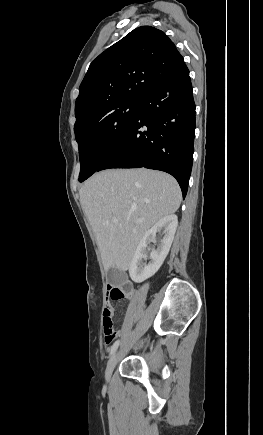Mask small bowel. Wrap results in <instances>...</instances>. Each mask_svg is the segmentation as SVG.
<instances>
[{"label":"small bowel","mask_w":263,"mask_h":435,"mask_svg":"<svg viewBox=\"0 0 263 435\" xmlns=\"http://www.w3.org/2000/svg\"><path fill=\"white\" fill-rule=\"evenodd\" d=\"M103 312H111L112 316H113V307L111 305L110 300H107L105 306H104V310Z\"/></svg>","instance_id":"obj_1"}]
</instances>
